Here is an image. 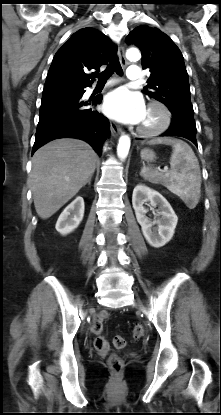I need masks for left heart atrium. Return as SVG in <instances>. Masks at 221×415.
<instances>
[{
  "label": "left heart atrium",
  "mask_w": 221,
  "mask_h": 415,
  "mask_svg": "<svg viewBox=\"0 0 221 415\" xmlns=\"http://www.w3.org/2000/svg\"><path fill=\"white\" fill-rule=\"evenodd\" d=\"M145 111L142 96L125 87L110 92L103 101V112L109 118L126 124L141 123Z\"/></svg>",
  "instance_id": "39dd6f15"
}]
</instances>
